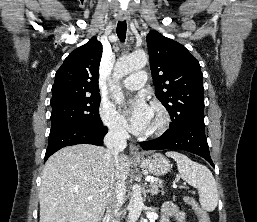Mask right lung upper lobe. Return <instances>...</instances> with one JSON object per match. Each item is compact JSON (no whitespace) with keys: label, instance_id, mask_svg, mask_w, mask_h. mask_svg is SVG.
Masks as SVG:
<instances>
[{"label":"right lung upper lobe","instance_id":"obj_1","mask_svg":"<svg viewBox=\"0 0 257 222\" xmlns=\"http://www.w3.org/2000/svg\"><path fill=\"white\" fill-rule=\"evenodd\" d=\"M102 44L96 37L72 51L55 74L51 100L99 95Z\"/></svg>","mask_w":257,"mask_h":222}]
</instances>
